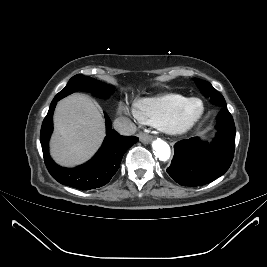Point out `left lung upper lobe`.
<instances>
[{"label":"left lung upper lobe","mask_w":267,"mask_h":267,"mask_svg":"<svg viewBox=\"0 0 267 267\" xmlns=\"http://www.w3.org/2000/svg\"><path fill=\"white\" fill-rule=\"evenodd\" d=\"M194 81L203 95L210 98L211 103L219 105L221 107H227L223 96L218 93L209 82L196 78L194 79Z\"/></svg>","instance_id":"left-lung-upper-lobe-1"}]
</instances>
